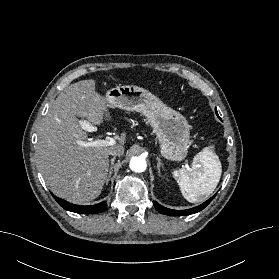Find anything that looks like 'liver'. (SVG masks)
<instances>
[{
	"label": "liver",
	"instance_id": "6515ba94",
	"mask_svg": "<svg viewBox=\"0 0 279 279\" xmlns=\"http://www.w3.org/2000/svg\"><path fill=\"white\" fill-rule=\"evenodd\" d=\"M109 107L92 79L71 84L50 106L38 129L36 155L45 182L56 196L86 203L100 195L108 177L109 152L124 149L126 133L113 146L85 147L80 143L87 142L88 134L78 117L101 125L111 119Z\"/></svg>",
	"mask_w": 279,
	"mask_h": 279
}]
</instances>
